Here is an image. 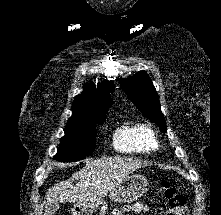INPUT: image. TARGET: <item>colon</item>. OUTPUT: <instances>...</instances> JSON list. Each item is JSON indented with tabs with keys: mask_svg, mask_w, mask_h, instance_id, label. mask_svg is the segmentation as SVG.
<instances>
[{
	"mask_svg": "<svg viewBox=\"0 0 221 215\" xmlns=\"http://www.w3.org/2000/svg\"><path fill=\"white\" fill-rule=\"evenodd\" d=\"M160 191L168 201V207L158 210L161 215H189L185 197L180 194L169 180L160 184Z\"/></svg>",
	"mask_w": 221,
	"mask_h": 215,
	"instance_id": "colon-1",
	"label": "colon"
}]
</instances>
